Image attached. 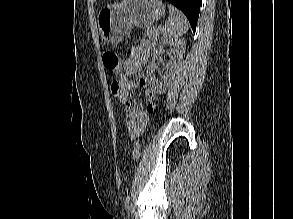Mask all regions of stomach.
Masks as SVG:
<instances>
[{"label": "stomach", "instance_id": "obj_1", "mask_svg": "<svg viewBox=\"0 0 293 219\" xmlns=\"http://www.w3.org/2000/svg\"><path fill=\"white\" fill-rule=\"evenodd\" d=\"M165 15L160 0H123L103 7L97 15L101 38L107 43H118L133 26L147 28Z\"/></svg>", "mask_w": 293, "mask_h": 219}]
</instances>
